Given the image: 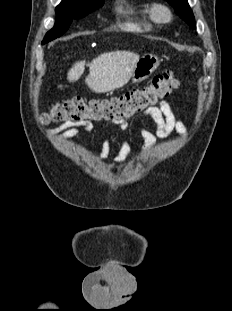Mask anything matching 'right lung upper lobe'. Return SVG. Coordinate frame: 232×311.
Returning a JSON list of instances; mask_svg holds the SVG:
<instances>
[{"label":"right lung upper lobe","mask_w":232,"mask_h":311,"mask_svg":"<svg viewBox=\"0 0 232 311\" xmlns=\"http://www.w3.org/2000/svg\"><path fill=\"white\" fill-rule=\"evenodd\" d=\"M95 1H103V0H95Z\"/></svg>","instance_id":"1"}]
</instances>
